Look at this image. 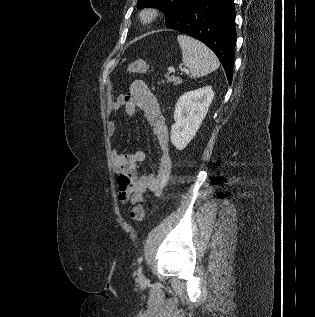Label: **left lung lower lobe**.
<instances>
[{
	"instance_id": "1",
	"label": "left lung lower lobe",
	"mask_w": 315,
	"mask_h": 317,
	"mask_svg": "<svg viewBox=\"0 0 315 317\" xmlns=\"http://www.w3.org/2000/svg\"><path fill=\"white\" fill-rule=\"evenodd\" d=\"M169 28L207 45L219 58L231 84L237 38L234 0H195L184 17Z\"/></svg>"
}]
</instances>
